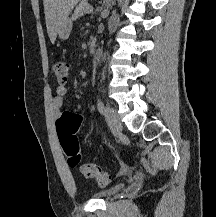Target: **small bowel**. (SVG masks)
<instances>
[{
  "mask_svg": "<svg viewBox=\"0 0 216 217\" xmlns=\"http://www.w3.org/2000/svg\"><path fill=\"white\" fill-rule=\"evenodd\" d=\"M67 91L68 90L65 86H59L56 89V94L52 98V111H53V116H54L56 123L59 121V119L64 114V112L62 111L63 99H64V96L67 94Z\"/></svg>",
  "mask_w": 216,
  "mask_h": 217,
  "instance_id": "obj_1",
  "label": "small bowel"
}]
</instances>
